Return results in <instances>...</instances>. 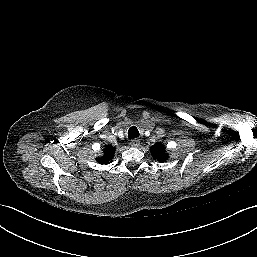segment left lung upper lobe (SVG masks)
Returning a JSON list of instances; mask_svg holds the SVG:
<instances>
[{
    "label": "left lung upper lobe",
    "instance_id": "left-lung-upper-lobe-1",
    "mask_svg": "<svg viewBox=\"0 0 257 257\" xmlns=\"http://www.w3.org/2000/svg\"><path fill=\"white\" fill-rule=\"evenodd\" d=\"M153 157L158 161H166L168 155L165 153V147L162 143H157L151 147Z\"/></svg>",
    "mask_w": 257,
    "mask_h": 257
}]
</instances>
